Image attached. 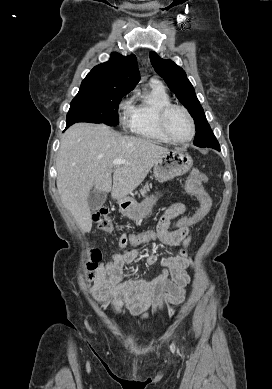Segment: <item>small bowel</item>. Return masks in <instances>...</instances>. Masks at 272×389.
I'll list each match as a JSON object with an SVG mask.
<instances>
[{
  "label": "small bowel",
  "mask_w": 272,
  "mask_h": 389,
  "mask_svg": "<svg viewBox=\"0 0 272 389\" xmlns=\"http://www.w3.org/2000/svg\"><path fill=\"white\" fill-rule=\"evenodd\" d=\"M190 213L184 204L175 203L158 222V239L167 245L182 246L179 254L173 257L159 260L155 254L128 250L126 236H120L118 245L121 251L114 253L109 262L98 267L97 280L92 288L93 295L118 313L126 310L132 317L142 318L148 317V311L157 313L171 304L182 302L190 281L189 269L192 265L187 253L191 243L190 228L169 231V226L176 217ZM139 260H144L149 265L159 264L162 270L149 281L124 280V265Z\"/></svg>",
  "instance_id": "obj_1"
}]
</instances>
